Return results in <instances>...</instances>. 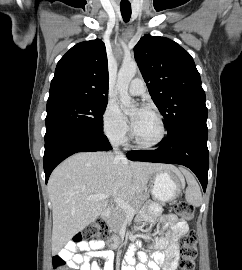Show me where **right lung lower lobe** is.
Masks as SVG:
<instances>
[{"label": "right lung lower lobe", "mask_w": 242, "mask_h": 270, "mask_svg": "<svg viewBox=\"0 0 242 270\" xmlns=\"http://www.w3.org/2000/svg\"><path fill=\"white\" fill-rule=\"evenodd\" d=\"M111 145L107 137L80 129H58L45 135L43 157L46 183L53 169L64 159L77 152L108 151Z\"/></svg>", "instance_id": "98d812e1"}]
</instances>
